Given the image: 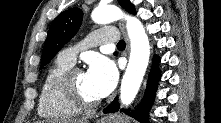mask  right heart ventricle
Returning a JSON list of instances; mask_svg holds the SVG:
<instances>
[{"instance_id": "right-heart-ventricle-1", "label": "right heart ventricle", "mask_w": 221, "mask_h": 123, "mask_svg": "<svg viewBox=\"0 0 221 123\" xmlns=\"http://www.w3.org/2000/svg\"><path fill=\"white\" fill-rule=\"evenodd\" d=\"M73 64L58 57L45 73L38 102V114L47 119L63 120L76 117L81 110L61 93L60 79Z\"/></svg>"}]
</instances>
